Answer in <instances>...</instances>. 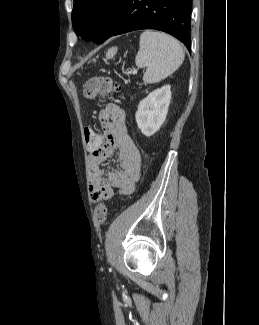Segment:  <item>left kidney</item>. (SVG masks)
Returning a JSON list of instances; mask_svg holds the SVG:
<instances>
[{"instance_id": "obj_1", "label": "left kidney", "mask_w": 259, "mask_h": 325, "mask_svg": "<svg viewBox=\"0 0 259 325\" xmlns=\"http://www.w3.org/2000/svg\"><path fill=\"white\" fill-rule=\"evenodd\" d=\"M170 100L171 87L166 85L140 101L135 118L142 134L150 137L160 129L166 119Z\"/></svg>"}]
</instances>
